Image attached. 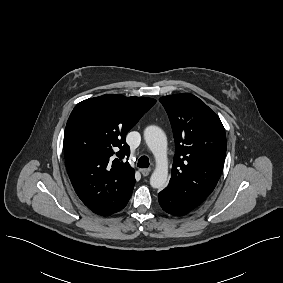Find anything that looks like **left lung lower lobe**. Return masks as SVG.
<instances>
[{
  "label": "left lung lower lobe",
  "mask_w": 283,
  "mask_h": 283,
  "mask_svg": "<svg viewBox=\"0 0 283 283\" xmlns=\"http://www.w3.org/2000/svg\"><path fill=\"white\" fill-rule=\"evenodd\" d=\"M158 199L162 209L174 216L185 215L192 210L183 205L169 188H165L161 191L158 194Z\"/></svg>",
  "instance_id": "1"
}]
</instances>
